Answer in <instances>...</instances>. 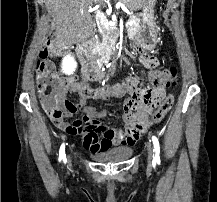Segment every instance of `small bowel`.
Returning a JSON list of instances; mask_svg holds the SVG:
<instances>
[{
  "mask_svg": "<svg viewBox=\"0 0 217 202\" xmlns=\"http://www.w3.org/2000/svg\"><path fill=\"white\" fill-rule=\"evenodd\" d=\"M141 61L147 68H154L158 64V60L154 56H142ZM60 83V96H63L64 91L67 88H72L80 95L81 104L84 105L86 100H108L111 98H123L127 89L121 83H114L107 86L95 85V88H91L89 84H80L74 80L61 81ZM134 105L136 102L131 98H126L123 101V119L126 122V127L123 131L117 132L111 127L101 126L99 131H81L83 141H111V142H83V147H131L139 139L140 134L146 131L148 128L135 131L136 126L145 125L148 118L152 113L148 109L137 110L134 112ZM83 111L86 117L89 118H102L104 112L96 111L94 108L84 106ZM150 111V112H149ZM134 118V119H133ZM138 118V119H135ZM140 118V119H139ZM147 118V119H144Z\"/></svg>",
  "mask_w": 217,
  "mask_h": 202,
  "instance_id": "obj_1",
  "label": "small bowel"
}]
</instances>
